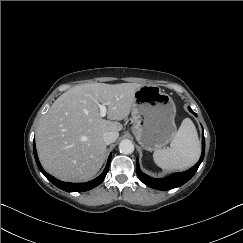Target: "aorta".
Here are the masks:
<instances>
[{
  "label": "aorta",
  "mask_w": 243,
  "mask_h": 243,
  "mask_svg": "<svg viewBox=\"0 0 243 243\" xmlns=\"http://www.w3.org/2000/svg\"><path fill=\"white\" fill-rule=\"evenodd\" d=\"M119 151L123 154H131L134 151V144L129 139H124L119 144Z\"/></svg>",
  "instance_id": "obj_1"
}]
</instances>
